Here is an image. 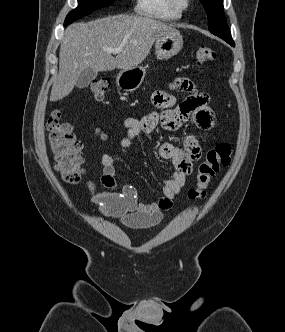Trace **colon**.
Wrapping results in <instances>:
<instances>
[{"label":"colon","instance_id":"obj_1","mask_svg":"<svg viewBox=\"0 0 285 332\" xmlns=\"http://www.w3.org/2000/svg\"><path fill=\"white\" fill-rule=\"evenodd\" d=\"M217 59L214 49L200 45L196 50V63L199 67L208 65ZM109 88L105 79L93 81L89 87L92 97L102 101ZM50 148L55 169L68 183H77L83 175V143L73 133L70 123L63 119L61 111H54L47 121ZM232 148L228 144H219L209 149L198 166L196 186L189 190L191 199H202L212 178L231 161Z\"/></svg>","mask_w":285,"mask_h":332}]
</instances>
